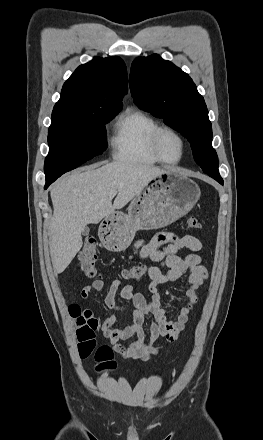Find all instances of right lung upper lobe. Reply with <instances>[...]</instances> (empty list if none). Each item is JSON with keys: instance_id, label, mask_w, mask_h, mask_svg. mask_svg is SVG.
<instances>
[{"instance_id": "cb5924a9", "label": "right lung upper lobe", "mask_w": 263, "mask_h": 440, "mask_svg": "<svg viewBox=\"0 0 263 440\" xmlns=\"http://www.w3.org/2000/svg\"><path fill=\"white\" fill-rule=\"evenodd\" d=\"M127 92V70L117 57H94L79 66L64 83L52 119L75 118L97 112L118 113Z\"/></svg>"}]
</instances>
